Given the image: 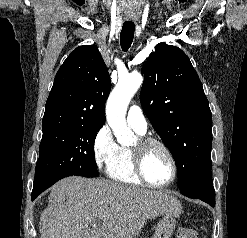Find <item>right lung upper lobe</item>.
<instances>
[{
    "mask_svg": "<svg viewBox=\"0 0 247 238\" xmlns=\"http://www.w3.org/2000/svg\"><path fill=\"white\" fill-rule=\"evenodd\" d=\"M111 81L95 45L76 48L54 79L46 102L42 130L105 122L104 107Z\"/></svg>",
    "mask_w": 247,
    "mask_h": 238,
    "instance_id": "obj_1",
    "label": "right lung upper lobe"
}]
</instances>
